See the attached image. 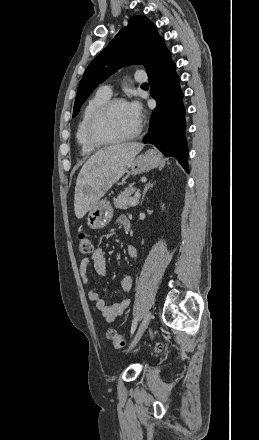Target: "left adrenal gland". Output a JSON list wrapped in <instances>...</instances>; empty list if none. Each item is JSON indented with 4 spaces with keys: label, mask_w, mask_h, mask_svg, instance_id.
Wrapping results in <instances>:
<instances>
[{
    "label": "left adrenal gland",
    "mask_w": 259,
    "mask_h": 440,
    "mask_svg": "<svg viewBox=\"0 0 259 440\" xmlns=\"http://www.w3.org/2000/svg\"><path fill=\"white\" fill-rule=\"evenodd\" d=\"M152 186H153V182H152V180H150V181L146 184V186H145V188H144V190H143L142 200H141V205H142V203H143V201H144V198H145V195H146L148 189H150Z\"/></svg>",
    "instance_id": "left-adrenal-gland-1"
}]
</instances>
